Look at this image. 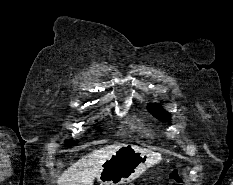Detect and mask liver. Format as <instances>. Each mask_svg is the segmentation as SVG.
Segmentation results:
<instances>
[{
  "label": "liver",
  "mask_w": 233,
  "mask_h": 185,
  "mask_svg": "<svg viewBox=\"0 0 233 185\" xmlns=\"http://www.w3.org/2000/svg\"><path fill=\"white\" fill-rule=\"evenodd\" d=\"M123 146L122 143L108 145L81 157L62 173L57 185H93L102 164Z\"/></svg>",
  "instance_id": "liver-1"
}]
</instances>
